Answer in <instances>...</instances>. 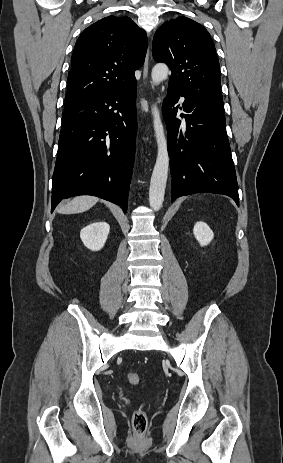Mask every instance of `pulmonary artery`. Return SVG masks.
<instances>
[{
    "instance_id": "1",
    "label": "pulmonary artery",
    "mask_w": 283,
    "mask_h": 463,
    "mask_svg": "<svg viewBox=\"0 0 283 463\" xmlns=\"http://www.w3.org/2000/svg\"><path fill=\"white\" fill-rule=\"evenodd\" d=\"M180 101H181V102L183 101V97L180 98Z\"/></svg>"
}]
</instances>
